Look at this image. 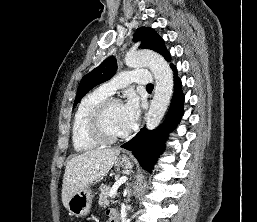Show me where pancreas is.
Here are the masks:
<instances>
[{
  "label": "pancreas",
  "instance_id": "1",
  "mask_svg": "<svg viewBox=\"0 0 257 222\" xmlns=\"http://www.w3.org/2000/svg\"><path fill=\"white\" fill-rule=\"evenodd\" d=\"M111 187L109 186H104L102 189H101V193L99 195V200H98V203L100 206H107L109 204L110 201L112 200H108L109 197L111 198H115L116 195H118L117 193L113 196H110V191H111Z\"/></svg>",
  "mask_w": 257,
  "mask_h": 222
}]
</instances>
